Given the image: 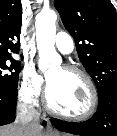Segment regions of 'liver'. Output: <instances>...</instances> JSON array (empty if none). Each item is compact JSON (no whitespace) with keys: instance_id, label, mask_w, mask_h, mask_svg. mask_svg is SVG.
Masks as SVG:
<instances>
[{"instance_id":"liver-1","label":"liver","mask_w":117,"mask_h":136,"mask_svg":"<svg viewBox=\"0 0 117 136\" xmlns=\"http://www.w3.org/2000/svg\"><path fill=\"white\" fill-rule=\"evenodd\" d=\"M25 134L19 123H14L0 127V136H23ZM32 136H41L40 130L32 133Z\"/></svg>"}]
</instances>
